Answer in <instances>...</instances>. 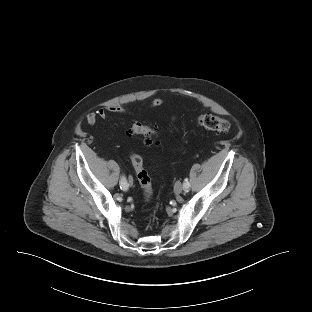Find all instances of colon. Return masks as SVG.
Here are the masks:
<instances>
[{"instance_id":"1","label":"colon","mask_w":312,"mask_h":312,"mask_svg":"<svg viewBox=\"0 0 312 312\" xmlns=\"http://www.w3.org/2000/svg\"><path fill=\"white\" fill-rule=\"evenodd\" d=\"M198 125L203 129L216 133H227L231 129L230 122L224 118L214 115H204L198 119ZM131 135L143 136L147 142H152L153 137L156 136V131L140 122H136L129 130ZM132 165L134 167L136 177L143 190L144 198L149 201L152 197L153 189L150 176L144 168L143 160L139 155L133 154L131 156Z\"/></svg>"}]
</instances>
